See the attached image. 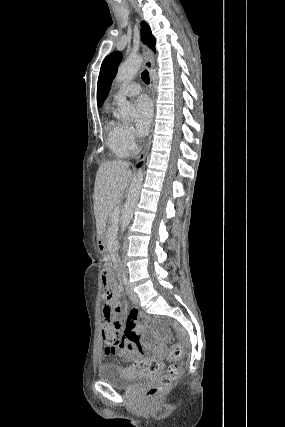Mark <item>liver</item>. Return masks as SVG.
I'll use <instances>...</instances> for the list:
<instances>
[{
  "label": "liver",
  "instance_id": "liver-1",
  "mask_svg": "<svg viewBox=\"0 0 285 427\" xmlns=\"http://www.w3.org/2000/svg\"><path fill=\"white\" fill-rule=\"evenodd\" d=\"M131 174L129 163L125 161L105 162L99 166L93 194L99 235L104 232L110 213L120 203Z\"/></svg>",
  "mask_w": 285,
  "mask_h": 427
}]
</instances>
